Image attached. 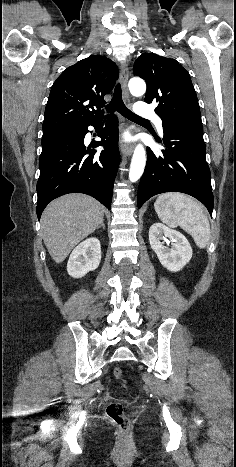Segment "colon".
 Instances as JSON below:
<instances>
[{
    "label": "colon",
    "instance_id": "colon-1",
    "mask_svg": "<svg viewBox=\"0 0 236 467\" xmlns=\"http://www.w3.org/2000/svg\"><path fill=\"white\" fill-rule=\"evenodd\" d=\"M113 375L118 379L121 385L125 388L128 387V382L123 378V371L121 368H114ZM108 418L118 426L120 431L126 435L131 429L130 420L124 415L123 405L119 402L110 403L106 408Z\"/></svg>",
    "mask_w": 236,
    "mask_h": 467
}]
</instances>
